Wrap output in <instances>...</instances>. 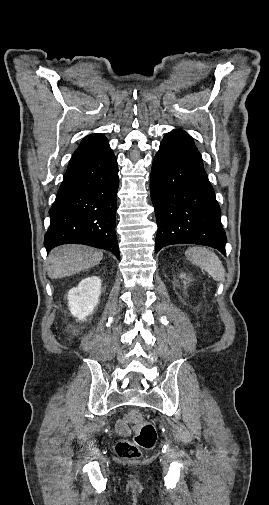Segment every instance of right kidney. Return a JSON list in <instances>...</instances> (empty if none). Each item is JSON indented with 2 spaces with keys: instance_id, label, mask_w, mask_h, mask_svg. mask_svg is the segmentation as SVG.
<instances>
[{
  "instance_id": "1",
  "label": "right kidney",
  "mask_w": 269,
  "mask_h": 505,
  "mask_svg": "<svg viewBox=\"0 0 269 505\" xmlns=\"http://www.w3.org/2000/svg\"><path fill=\"white\" fill-rule=\"evenodd\" d=\"M101 295V280L97 276L83 279L76 288H72L67 296L69 310L74 317L85 320L99 302Z\"/></svg>"
}]
</instances>
